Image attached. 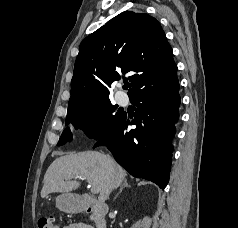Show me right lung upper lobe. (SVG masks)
<instances>
[{
	"instance_id": "obj_1",
	"label": "right lung upper lobe",
	"mask_w": 238,
	"mask_h": 228,
	"mask_svg": "<svg viewBox=\"0 0 238 228\" xmlns=\"http://www.w3.org/2000/svg\"><path fill=\"white\" fill-rule=\"evenodd\" d=\"M159 22L144 13L124 11L86 37L79 47L68 106L84 107L109 100V88L129 74V97L176 75ZM127 80V78H123Z\"/></svg>"
}]
</instances>
